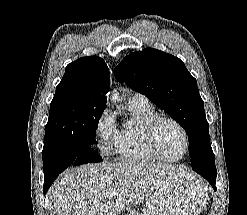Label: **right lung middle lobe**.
<instances>
[{"mask_svg":"<svg viewBox=\"0 0 247 215\" xmlns=\"http://www.w3.org/2000/svg\"><path fill=\"white\" fill-rule=\"evenodd\" d=\"M104 108L105 104L81 99L71 91L56 92L45 126L43 151L66 141L77 142L81 146L95 145L96 128Z\"/></svg>","mask_w":247,"mask_h":215,"instance_id":"right-lung-middle-lobe-1","label":"right lung middle lobe"}]
</instances>
